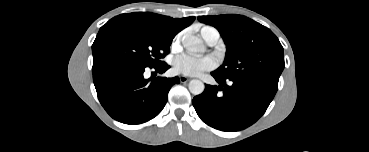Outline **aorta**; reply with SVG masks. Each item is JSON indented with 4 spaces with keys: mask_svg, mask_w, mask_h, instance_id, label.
I'll return each instance as SVG.
<instances>
[{
    "mask_svg": "<svg viewBox=\"0 0 369 152\" xmlns=\"http://www.w3.org/2000/svg\"><path fill=\"white\" fill-rule=\"evenodd\" d=\"M182 44L184 48L191 53H199V52L205 51V47L203 45L202 40L193 35H185L182 38ZM188 87H189V91L193 95H200L204 91V88H205L203 82L197 79L191 80L189 82Z\"/></svg>",
    "mask_w": 369,
    "mask_h": 152,
    "instance_id": "obj_1",
    "label": "aorta"
}]
</instances>
